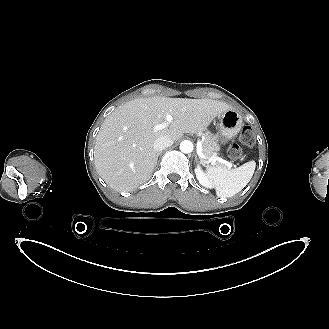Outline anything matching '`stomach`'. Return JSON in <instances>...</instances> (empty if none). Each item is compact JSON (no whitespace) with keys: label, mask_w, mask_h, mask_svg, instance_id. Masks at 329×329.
Instances as JSON below:
<instances>
[{"label":"stomach","mask_w":329,"mask_h":329,"mask_svg":"<svg viewBox=\"0 0 329 329\" xmlns=\"http://www.w3.org/2000/svg\"><path fill=\"white\" fill-rule=\"evenodd\" d=\"M219 127L221 134L230 139L242 128L243 120L240 113L235 109H230L219 116Z\"/></svg>","instance_id":"stomach-1"}]
</instances>
